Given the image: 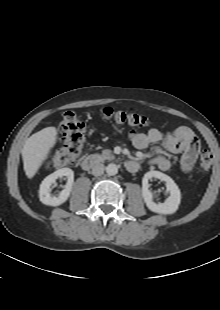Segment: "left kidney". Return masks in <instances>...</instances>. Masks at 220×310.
<instances>
[{
	"instance_id": "5707ae66",
	"label": "left kidney",
	"mask_w": 220,
	"mask_h": 310,
	"mask_svg": "<svg viewBox=\"0 0 220 310\" xmlns=\"http://www.w3.org/2000/svg\"><path fill=\"white\" fill-rule=\"evenodd\" d=\"M152 178H158L166 183V188L170 193V196L164 203L157 204L153 201V194L149 190L150 185L148 183V181ZM142 196L149 210L165 215L175 213L181 200L180 190L174 180L168 175L159 171H149L144 175L142 179Z\"/></svg>"
}]
</instances>
